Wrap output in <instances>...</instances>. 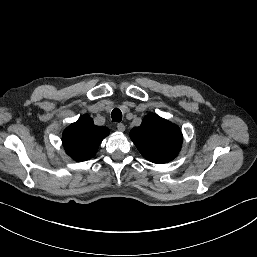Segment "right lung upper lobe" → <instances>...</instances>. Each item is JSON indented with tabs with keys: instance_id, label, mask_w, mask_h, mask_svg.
<instances>
[{
	"instance_id": "right-lung-upper-lobe-1",
	"label": "right lung upper lobe",
	"mask_w": 257,
	"mask_h": 257,
	"mask_svg": "<svg viewBox=\"0 0 257 257\" xmlns=\"http://www.w3.org/2000/svg\"><path fill=\"white\" fill-rule=\"evenodd\" d=\"M109 134L107 127L95 126L89 115H83L63 132V146L76 161L95 156L101 141Z\"/></svg>"
}]
</instances>
